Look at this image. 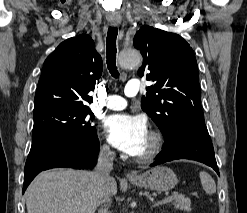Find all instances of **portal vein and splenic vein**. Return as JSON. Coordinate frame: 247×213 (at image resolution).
Instances as JSON below:
<instances>
[{"label":"portal vein and splenic vein","mask_w":247,"mask_h":213,"mask_svg":"<svg viewBox=\"0 0 247 213\" xmlns=\"http://www.w3.org/2000/svg\"><path fill=\"white\" fill-rule=\"evenodd\" d=\"M174 196H175V194H171L170 196H167L166 198H164V199H162L160 201L155 202L152 206L153 207H156V206L165 204V203L171 201L174 198Z\"/></svg>","instance_id":"18ae733b"}]
</instances>
